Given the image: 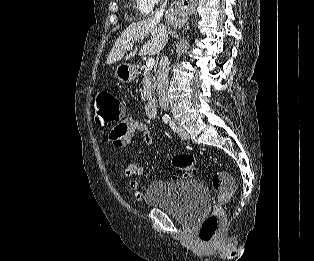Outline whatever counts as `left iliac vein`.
I'll use <instances>...</instances> for the list:
<instances>
[{"instance_id": "4c4485c4", "label": "left iliac vein", "mask_w": 314, "mask_h": 261, "mask_svg": "<svg viewBox=\"0 0 314 261\" xmlns=\"http://www.w3.org/2000/svg\"><path fill=\"white\" fill-rule=\"evenodd\" d=\"M178 134L184 140L189 139V134H188L187 130L183 127L178 128Z\"/></svg>"}]
</instances>
